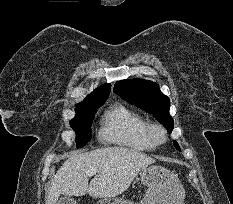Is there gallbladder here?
I'll return each mask as SVG.
<instances>
[{
  "instance_id": "gallbladder-1",
  "label": "gallbladder",
  "mask_w": 233,
  "mask_h": 204,
  "mask_svg": "<svg viewBox=\"0 0 233 204\" xmlns=\"http://www.w3.org/2000/svg\"><path fill=\"white\" fill-rule=\"evenodd\" d=\"M57 204H78L77 201L74 198H62L60 199Z\"/></svg>"
}]
</instances>
